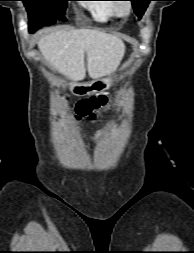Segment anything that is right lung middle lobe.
<instances>
[{
    "label": "right lung middle lobe",
    "mask_w": 194,
    "mask_h": 253,
    "mask_svg": "<svg viewBox=\"0 0 194 253\" xmlns=\"http://www.w3.org/2000/svg\"><path fill=\"white\" fill-rule=\"evenodd\" d=\"M28 15L29 28L33 31L44 25L54 24L56 19L66 21L65 10L69 0H22Z\"/></svg>",
    "instance_id": "obj_1"
}]
</instances>
